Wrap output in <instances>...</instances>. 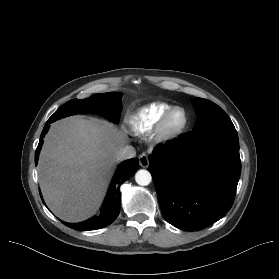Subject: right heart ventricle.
<instances>
[{
  "label": "right heart ventricle",
  "mask_w": 279,
  "mask_h": 279,
  "mask_svg": "<svg viewBox=\"0 0 279 279\" xmlns=\"http://www.w3.org/2000/svg\"><path fill=\"white\" fill-rule=\"evenodd\" d=\"M172 106L165 102H154L133 115L129 124L136 135H145L157 126L163 114Z\"/></svg>",
  "instance_id": "e07e8e85"
}]
</instances>
